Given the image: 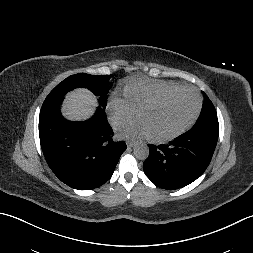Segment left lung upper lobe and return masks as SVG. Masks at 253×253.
Returning <instances> with one entry per match:
<instances>
[{"label": "left lung upper lobe", "mask_w": 253, "mask_h": 253, "mask_svg": "<svg viewBox=\"0 0 253 253\" xmlns=\"http://www.w3.org/2000/svg\"><path fill=\"white\" fill-rule=\"evenodd\" d=\"M205 105L195 125L207 124L219 127L215 107L208 96L203 92Z\"/></svg>", "instance_id": "obj_1"}]
</instances>
